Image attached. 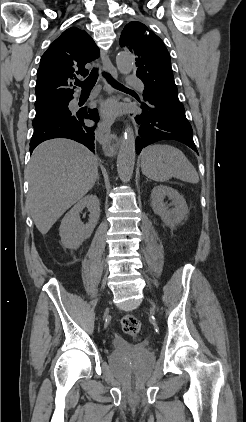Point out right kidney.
<instances>
[{"instance_id":"1","label":"right kidney","mask_w":246,"mask_h":422,"mask_svg":"<svg viewBox=\"0 0 246 422\" xmlns=\"http://www.w3.org/2000/svg\"><path fill=\"white\" fill-rule=\"evenodd\" d=\"M87 208L90 212L89 221L83 224L80 220V212ZM100 217V202L96 195H87L64 216L59 228L61 243L68 249H77L88 239Z\"/></svg>"}]
</instances>
